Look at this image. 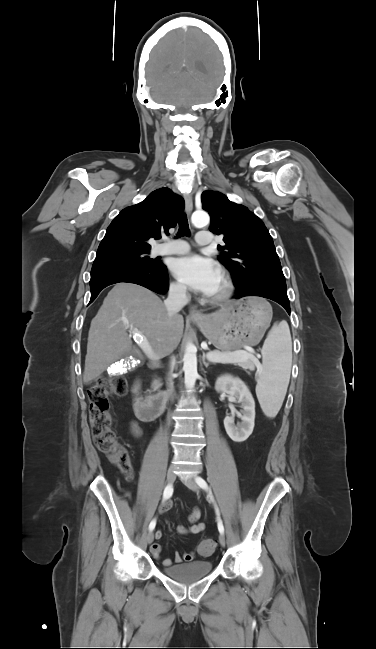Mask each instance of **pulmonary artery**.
Returning a JSON list of instances; mask_svg holds the SVG:
<instances>
[{"mask_svg": "<svg viewBox=\"0 0 376 649\" xmlns=\"http://www.w3.org/2000/svg\"><path fill=\"white\" fill-rule=\"evenodd\" d=\"M196 242L199 246H208L212 243V236L207 231H200L197 234ZM189 251V245L182 240H173L169 243L160 244L154 248V255H176L184 254Z\"/></svg>", "mask_w": 376, "mask_h": 649, "instance_id": "pulmonary-artery-1", "label": "pulmonary artery"}]
</instances>
